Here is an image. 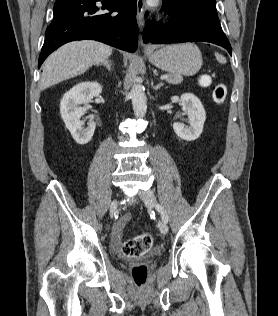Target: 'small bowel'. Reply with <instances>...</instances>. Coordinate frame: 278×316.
<instances>
[{
    "label": "small bowel",
    "mask_w": 278,
    "mask_h": 316,
    "mask_svg": "<svg viewBox=\"0 0 278 316\" xmlns=\"http://www.w3.org/2000/svg\"><path fill=\"white\" fill-rule=\"evenodd\" d=\"M128 217H124L120 223L118 224L117 228H116V232H115V240L118 241L120 238V234L122 231V228L124 227L125 223L127 222Z\"/></svg>",
    "instance_id": "1"
}]
</instances>
